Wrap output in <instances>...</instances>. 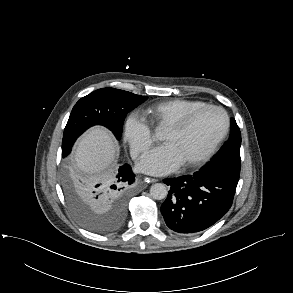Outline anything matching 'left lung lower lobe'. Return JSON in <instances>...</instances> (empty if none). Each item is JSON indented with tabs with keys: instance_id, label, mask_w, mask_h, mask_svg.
I'll list each match as a JSON object with an SVG mask.
<instances>
[{
	"instance_id": "left-lung-lower-lobe-1",
	"label": "left lung lower lobe",
	"mask_w": 293,
	"mask_h": 293,
	"mask_svg": "<svg viewBox=\"0 0 293 293\" xmlns=\"http://www.w3.org/2000/svg\"><path fill=\"white\" fill-rule=\"evenodd\" d=\"M238 180L217 170L165 179L170 186L161 213L167 226L181 234L205 230L230 209Z\"/></svg>"
}]
</instances>
